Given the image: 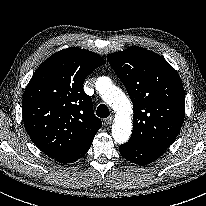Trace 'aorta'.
<instances>
[{"instance_id": "obj_1", "label": "aorta", "mask_w": 206, "mask_h": 206, "mask_svg": "<svg viewBox=\"0 0 206 206\" xmlns=\"http://www.w3.org/2000/svg\"><path fill=\"white\" fill-rule=\"evenodd\" d=\"M96 88L102 99L116 111L115 122L112 126V137L117 143H125L132 132V105L121 89L112 84L110 78L100 77Z\"/></svg>"}]
</instances>
